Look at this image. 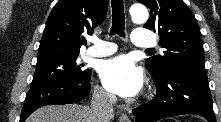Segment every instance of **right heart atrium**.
<instances>
[{"instance_id": "obj_1", "label": "right heart atrium", "mask_w": 221, "mask_h": 122, "mask_svg": "<svg viewBox=\"0 0 221 122\" xmlns=\"http://www.w3.org/2000/svg\"><path fill=\"white\" fill-rule=\"evenodd\" d=\"M94 92L96 97L102 101L110 102L113 99L112 96L100 86H96Z\"/></svg>"}]
</instances>
